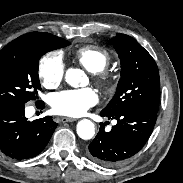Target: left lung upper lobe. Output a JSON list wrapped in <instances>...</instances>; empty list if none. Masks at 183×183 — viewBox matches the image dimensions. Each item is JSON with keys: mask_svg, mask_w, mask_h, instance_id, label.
I'll return each mask as SVG.
<instances>
[{"mask_svg": "<svg viewBox=\"0 0 183 183\" xmlns=\"http://www.w3.org/2000/svg\"><path fill=\"white\" fill-rule=\"evenodd\" d=\"M121 61V78L117 91L109 104L101 111L113 115L129 108H141L157 112L160 84L156 62L132 37L117 34L109 40Z\"/></svg>", "mask_w": 183, "mask_h": 183, "instance_id": "1", "label": "left lung upper lobe"}]
</instances>
